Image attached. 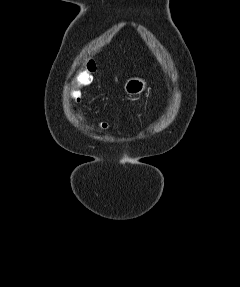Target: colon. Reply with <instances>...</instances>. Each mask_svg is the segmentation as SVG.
Instances as JSON below:
<instances>
[{
	"label": "colon",
	"mask_w": 240,
	"mask_h": 287,
	"mask_svg": "<svg viewBox=\"0 0 240 287\" xmlns=\"http://www.w3.org/2000/svg\"><path fill=\"white\" fill-rule=\"evenodd\" d=\"M95 70V62L91 59L87 60L84 63L82 71L76 75L75 86L67 92V102L69 106L74 110L77 117L85 124H90L92 122V118L82 106L83 99L79 87L91 83L92 73ZM100 126L106 129L109 127V124L107 122H101Z\"/></svg>",
	"instance_id": "1"
}]
</instances>
